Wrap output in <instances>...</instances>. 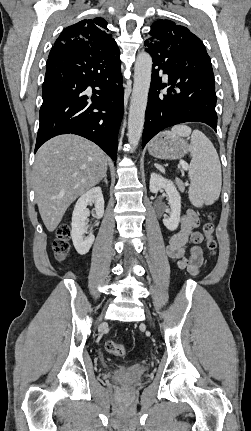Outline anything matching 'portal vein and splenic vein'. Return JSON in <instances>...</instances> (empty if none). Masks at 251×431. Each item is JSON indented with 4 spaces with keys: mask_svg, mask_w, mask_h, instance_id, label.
<instances>
[{
    "mask_svg": "<svg viewBox=\"0 0 251 431\" xmlns=\"http://www.w3.org/2000/svg\"><path fill=\"white\" fill-rule=\"evenodd\" d=\"M181 165H182V168L185 169V170H187L189 168L188 165L185 164V163H181Z\"/></svg>",
    "mask_w": 251,
    "mask_h": 431,
    "instance_id": "1",
    "label": "portal vein and splenic vein"
}]
</instances>
